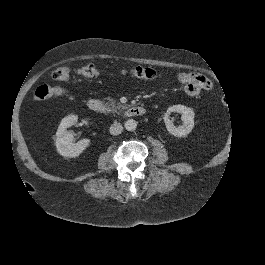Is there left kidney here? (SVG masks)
Wrapping results in <instances>:
<instances>
[{
  "instance_id": "5707ae66",
  "label": "left kidney",
  "mask_w": 265,
  "mask_h": 265,
  "mask_svg": "<svg viewBox=\"0 0 265 265\" xmlns=\"http://www.w3.org/2000/svg\"><path fill=\"white\" fill-rule=\"evenodd\" d=\"M181 113V119L184 123L181 126L175 127L173 123L170 122L168 115L171 113ZM164 122L168 132L177 138H185L193 130L195 123V113L191 108H187L183 105H174L168 109L164 114Z\"/></svg>"
}]
</instances>
